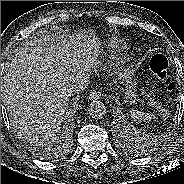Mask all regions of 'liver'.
I'll use <instances>...</instances> for the list:
<instances>
[{"label": "liver", "instance_id": "1", "mask_svg": "<svg viewBox=\"0 0 184 184\" xmlns=\"http://www.w3.org/2000/svg\"><path fill=\"white\" fill-rule=\"evenodd\" d=\"M100 45L92 33L74 35L63 46L43 36L18 47L6 63L4 101L14 122L21 124L35 143L56 140L71 96V78L97 66Z\"/></svg>", "mask_w": 184, "mask_h": 184}]
</instances>
